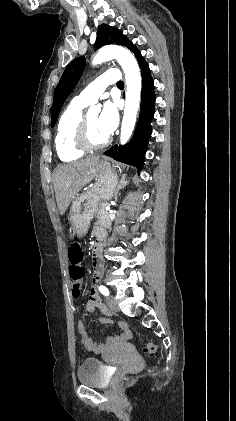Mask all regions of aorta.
<instances>
[{
	"mask_svg": "<svg viewBox=\"0 0 236 421\" xmlns=\"http://www.w3.org/2000/svg\"><path fill=\"white\" fill-rule=\"evenodd\" d=\"M111 58L118 60L126 78V98L120 134V142L125 144L130 138L136 122V114L140 104L141 74L135 56L127 48L115 46V44H107V46L99 48L97 54L92 58V64L95 66V64H101L105 60H111Z\"/></svg>",
	"mask_w": 236,
	"mask_h": 421,
	"instance_id": "762f6f07",
	"label": "aorta"
}]
</instances>
